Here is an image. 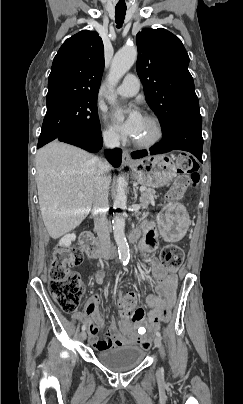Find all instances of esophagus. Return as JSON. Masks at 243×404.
Listing matches in <instances>:
<instances>
[{
    "mask_svg": "<svg viewBox=\"0 0 243 404\" xmlns=\"http://www.w3.org/2000/svg\"><path fill=\"white\" fill-rule=\"evenodd\" d=\"M132 162L131 158H130V154L128 150H123V159H122V163L127 165L130 164Z\"/></svg>",
    "mask_w": 243,
    "mask_h": 404,
    "instance_id": "34e87169",
    "label": "esophagus"
}]
</instances>
